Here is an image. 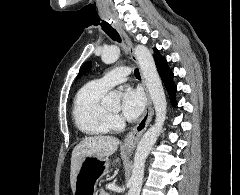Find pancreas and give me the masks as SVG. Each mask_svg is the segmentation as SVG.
<instances>
[{
    "mask_svg": "<svg viewBox=\"0 0 240 195\" xmlns=\"http://www.w3.org/2000/svg\"><path fill=\"white\" fill-rule=\"evenodd\" d=\"M99 195H109V193H107V191H104V189H100Z\"/></svg>",
    "mask_w": 240,
    "mask_h": 195,
    "instance_id": "obj_1",
    "label": "pancreas"
}]
</instances>
